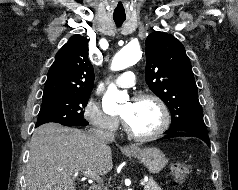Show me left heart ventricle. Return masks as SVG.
<instances>
[{"label": "left heart ventricle", "instance_id": "b2bd125f", "mask_svg": "<svg viewBox=\"0 0 238 190\" xmlns=\"http://www.w3.org/2000/svg\"><path fill=\"white\" fill-rule=\"evenodd\" d=\"M120 115L138 133H151L161 124V112L151 100H130L122 106Z\"/></svg>", "mask_w": 238, "mask_h": 190}]
</instances>
